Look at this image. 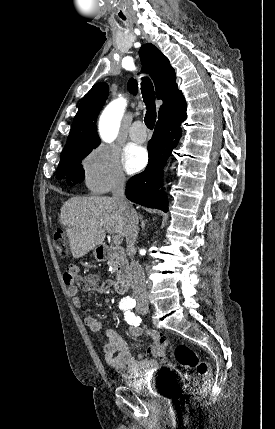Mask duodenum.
<instances>
[{"label": "duodenum", "instance_id": "duodenum-1", "mask_svg": "<svg viewBox=\"0 0 275 429\" xmlns=\"http://www.w3.org/2000/svg\"><path fill=\"white\" fill-rule=\"evenodd\" d=\"M96 252L100 261H111L116 267V278L113 282L115 291L120 294L126 292L130 283V274L124 250L103 244L97 247Z\"/></svg>", "mask_w": 275, "mask_h": 429}]
</instances>
